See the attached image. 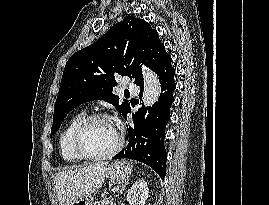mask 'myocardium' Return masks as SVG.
<instances>
[{
	"mask_svg": "<svg viewBox=\"0 0 269 205\" xmlns=\"http://www.w3.org/2000/svg\"><path fill=\"white\" fill-rule=\"evenodd\" d=\"M99 120H108L114 123L117 129V143L109 152H106L104 154H90L83 147V143H82L83 135L85 131L87 130V128L92 123ZM123 144H124V137L121 130L117 126L115 120L111 116L105 113H95V114L85 117V119L75 129L73 137H72L73 150L76 152V154L80 158L86 159V160H105V159L112 158L122 149Z\"/></svg>",
	"mask_w": 269,
	"mask_h": 205,
	"instance_id": "f54148a6",
	"label": "myocardium"
}]
</instances>
